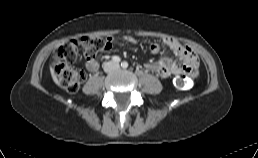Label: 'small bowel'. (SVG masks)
Listing matches in <instances>:
<instances>
[{"mask_svg": "<svg viewBox=\"0 0 258 158\" xmlns=\"http://www.w3.org/2000/svg\"><path fill=\"white\" fill-rule=\"evenodd\" d=\"M110 38L113 39L112 37ZM125 40L130 44L136 43L135 38L132 36H126ZM162 47L171 49L179 58V61H173L170 58L162 57L157 61L146 63L145 68L147 70L157 74L161 78H168L172 75L181 74L188 78L196 77L199 60L197 55L189 47L183 45L175 38L167 37L158 43L151 44L150 50L157 52ZM85 66L89 71L95 72L99 69L100 64L98 60L93 57L86 59Z\"/></svg>", "mask_w": 258, "mask_h": 158, "instance_id": "c3829d8e", "label": "small bowel"}]
</instances>
